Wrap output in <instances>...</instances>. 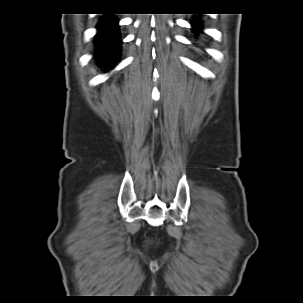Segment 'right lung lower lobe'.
<instances>
[{"mask_svg": "<svg viewBox=\"0 0 303 303\" xmlns=\"http://www.w3.org/2000/svg\"><path fill=\"white\" fill-rule=\"evenodd\" d=\"M95 44L100 64L106 65L117 59L121 42L118 23L112 15L105 16L99 23Z\"/></svg>", "mask_w": 303, "mask_h": 303, "instance_id": "1", "label": "right lung lower lobe"}]
</instances>
